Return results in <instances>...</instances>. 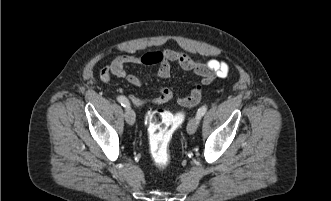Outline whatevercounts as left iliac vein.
Instances as JSON below:
<instances>
[{
  "label": "left iliac vein",
  "instance_id": "obj_1",
  "mask_svg": "<svg viewBox=\"0 0 331 201\" xmlns=\"http://www.w3.org/2000/svg\"><path fill=\"white\" fill-rule=\"evenodd\" d=\"M199 118L197 117V115L193 118L190 119V121L188 122L187 125V132L191 135L194 134L198 128V124H199Z\"/></svg>",
  "mask_w": 331,
  "mask_h": 201
}]
</instances>
